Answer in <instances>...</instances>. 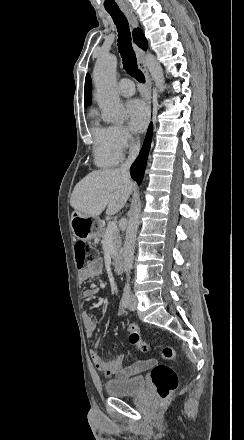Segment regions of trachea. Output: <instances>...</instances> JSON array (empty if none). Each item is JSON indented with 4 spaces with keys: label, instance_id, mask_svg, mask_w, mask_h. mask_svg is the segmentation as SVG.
<instances>
[{
    "label": "trachea",
    "instance_id": "trachea-1",
    "mask_svg": "<svg viewBox=\"0 0 244 440\" xmlns=\"http://www.w3.org/2000/svg\"><path fill=\"white\" fill-rule=\"evenodd\" d=\"M111 15L118 31V49L127 73L135 77L140 83H145L141 70L137 67V59L131 43V33L128 21L119 8H106Z\"/></svg>",
    "mask_w": 244,
    "mask_h": 440
}]
</instances>
